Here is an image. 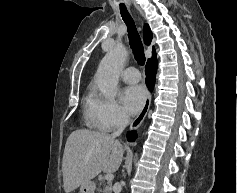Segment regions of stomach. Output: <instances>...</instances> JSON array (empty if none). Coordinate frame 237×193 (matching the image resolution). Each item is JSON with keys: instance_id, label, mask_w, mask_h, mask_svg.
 <instances>
[{"instance_id": "1", "label": "stomach", "mask_w": 237, "mask_h": 193, "mask_svg": "<svg viewBox=\"0 0 237 193\" xmlns=\"http://www.w3.org/2000/svg\"><path fill=\"white\" fill-rule=\"evenodd\" d=\"M94 191H95V183L92 181H89L80 186L79 193H94Z\"/></svg>"}]
</instances>
